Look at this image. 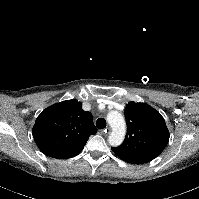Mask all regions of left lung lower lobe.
<instances>
[{"label":"left lung lower lobe","instance_id":"1","mask_svg":"<svg viewBox=\"0 0 199 199\" xmlns=\"http://www.w3.org/2000/svg\"><path fill=\"white\" fill-rule=\"evenodd\" d=\"M126 162H129V163H133V164H140V163H136V162H133V161H129V160H125Z\"/></svg>","mask_w":199,"mask_h":199}]
</instances>
